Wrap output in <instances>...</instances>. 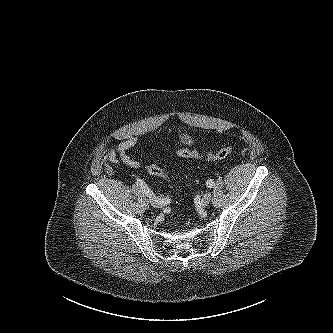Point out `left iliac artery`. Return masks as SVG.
Here are the masks:
<instances>
[{
  "instance_id": "obj_1",
  "label": "left iliac artery",
  "mask_w": 333,
  "mask_h": 333,
  "mask_svg": "<svg viewBox=\"0 0 333 333\" xmlns=\"http://www.w3.org/2000/svg\"><path fill=\"white\" fill-rule=\"evenodd\" d=\"M206 185L208 188H212L214 186V181L212 179L207 180Z\"/></svg>"
}]
</instances>
